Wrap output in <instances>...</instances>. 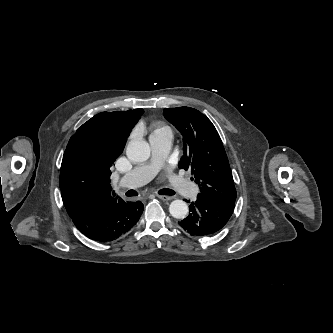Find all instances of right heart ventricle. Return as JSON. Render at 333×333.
I'll list each match as a JSON object with an SVG mask.
<instances>
[{
    "mask_svg": "<svg viewBox=\"0 0 333 333\" xmlns=\"http://www.w3.org/2000/svg\"><path fill=\"white\" fill-rule=\"evenodd\" d=\"M160 133H168L172 134V131L169 127L164 126V125H159L155 128L152 134H160Z\"/></svg>",
    "mask_w": 333,
    "mask_h": 333,
    "instance_id": "e07e8e85",
    "label": "right heart ventricle"
}]
</instances>
